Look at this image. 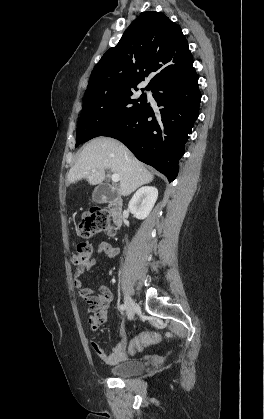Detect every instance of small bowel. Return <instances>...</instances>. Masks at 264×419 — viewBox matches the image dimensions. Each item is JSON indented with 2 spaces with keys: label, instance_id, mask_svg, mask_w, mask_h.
Segmentation results:
<instances>
[{
  "label": "small bowel",
  "instance_id": "small-bowel-1",
  "mask_svg": "<svg viewBox=\"0 0 264 419\" xmlns=\"http://www.w3.org/2000/svg\"><path fill=\"white\" fill-rule=\"evenodd\" d=\"M98 252L100 254H105L109 258H115L118 254V249L114 244L103 241L98 245ZM87 270L88 267L86 266H79L76 269L74 274V284L79 291V296L83 300L87 302L91 301L95 304L94 309L97 311V313L95 316L89 318V325L92 331H96L107 320V309L113 299V294L111 290L104 285L99 287V293L97 295H94L90 288L84 287L81 281V276ZM154 334L156 337L154 342H157L159 340V334ZM118 335L119 339L110 352L102 348L96 341L91 343L92 348L98 357L108 365L119 364L123 361H126L129 355L136 353L131 349L130 343H128L127 336L122 324L119 326Z\"/></svg>",
  "mask_w": 264,
  "mask_h": 419
}]
</instances>
